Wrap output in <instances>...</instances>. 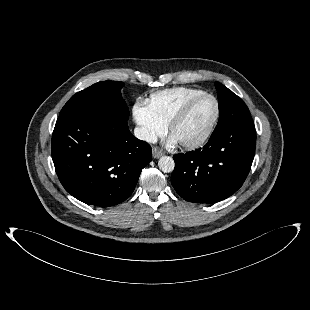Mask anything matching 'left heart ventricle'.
I'll use <instances>...</instances> for the list:
<instances>
[{
    "label": "left heart ventricle",
    "mask_w": 310,
    "mask_h": 310,
    "mask_svg": "<svg viewBox=\"0 0 310 310\" xmlns=\"http://www.w3.org/2000/svg\"><path fill=\"white\" fill-rule=\"evenodd\" d=\"M215 113L214 101L203 98L197 101L185 119L174 129L173 136L178 142L191 141L200 137L209 126Z\"/></svg>",
    "instance_id": "obj_1"
}]
</instances>
